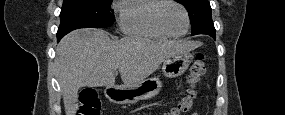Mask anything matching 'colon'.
I'll list each match as a JSON object with an SVG mask.
<instances>
[{
  "instance_id": "1",
  "label": "colon",
  "mask_w": 285,
  "mask_h": 115,
  "mask_svg": "<svg viewBox=\"0 0 285 115\" xmlns=\"http://www.w3.org/2000/svg\"><path fill=\"white\" fill-rule=\"evenodd\" d=\"M206 72L203 54L199 53L192 62L187 75V89L178 105L172 109L171 114H188L194 107L198 97V86ZM78 115H99L100 102L94 90L86 89L80 95Z\"/></svg>"
}]
</instances>
